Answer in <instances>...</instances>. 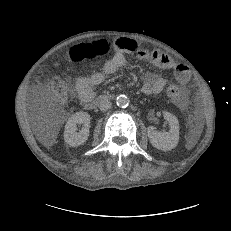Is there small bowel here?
Here are the masks:
<instances>
[{
  "label": "small bowel",
  "mask_w": 231,
  "mask_h": 231,
  "mask_svg": "<svg viewBox=\"0 0 231 231\" xmlns=\"http://www.w3.org/2000/svg\"><path fill=\"white\" fill-rule=\"evenodd\" d=\"M115 54L105 62L102 71L95 72L88 77L80 78L75 85V90L82 102L92 100L95 87L102 84L108 75L115 73L128 62V55L152 62L155 66L172 70L176 80L181 85H186L190 79L188 68L177 63L170 56L160 50L150 51L140 46L135 40L121 37L114 41ZM165 80L159 76L147 73L143 76L142 92L146 95L157 94L165 87Z\"/></svg>",
  "instance_id": "c3829d8e"
}]
</instances>
